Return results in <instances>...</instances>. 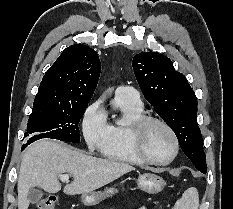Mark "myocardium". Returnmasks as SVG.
Here are the masks:
<instances>
[{"label":"myocardium","mask_w":233,"mask_h":209,"mask_svg":"<svg viewBox=\"0 0 233 209\" xmlns=\"http://www.w3.org/2000/svg\"><path fill=\"white\" fill-rule=\"evenodd\" d=\"M151 124H159L162 126L171 136L174 144V150L171 157L165 161H157L152 159L148 156L144 148V139L147 128ZM131 142L132 147L136 155L145 163L156 165V166H166L172 163L179 153V140L174 131V129L163 119L150 116V115H143L137 120H135L131 125Z\"/></svg>","instance_id":"myocardium-1"}]
</instances>
